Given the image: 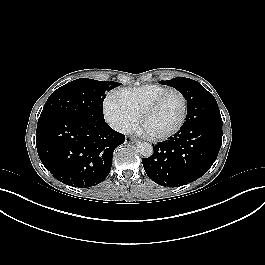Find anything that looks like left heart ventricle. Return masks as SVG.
<instances>
[{
    "label": "left heart ventricle",
    "mask_w": 265,
    "mask_h": 265,
    "mask_svg": "<svg viewBox=\"0 0 265 265\" xmlns=\"http://www.w3.org/2000/svg\"><path fill=\"white\" fill-rule=\"evenodd\" d=\"M182 113V101L175 92L166 94L143 122V128L149 134H164L178 123Z\"/></svg>",
    "instance_id": "b2bd125f"
}]
</instances>
